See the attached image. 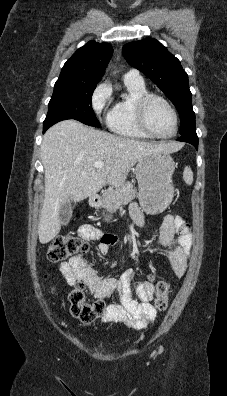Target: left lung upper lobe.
<instances>
[{"instance_id": "obj_1", "label": "left lung upper lobe", "mask_w": 227, "mask_h": 396, "mask_svg": "<svg viewBox=\"0 0 227 396\" xmlns=\"http://www.w3.org/2000/svg\"><path fill=\"white\" fill-rule=\"evenodd\" d=\"M122 52L126 61L149 77L175 105L180 115V134L195 128L188 75L180 61L153 38L128 43Z\"/></svg>"}]
</instances>
